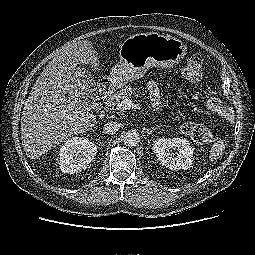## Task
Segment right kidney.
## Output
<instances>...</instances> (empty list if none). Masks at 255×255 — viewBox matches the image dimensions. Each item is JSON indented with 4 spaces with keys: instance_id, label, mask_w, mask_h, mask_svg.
Returning <instances> with one entry per match:
<instances>
[{
    "instance_id": "1",
    "label": "right kidney",
    "mask_w": 255,
    "mask_h": 255,
    "mask_svg": "<svg viewBox=\"0 0 255 255\" xmlns=\"http://www.w3.org/2000/svg\"><path fill=\"white\" fill-rule=\"evenodd\" d=\"M96 145L86 137H73L61 147L58 164L63 173L74 174L86 169L96 155Z\"/></svg>"
}]
</instances>
